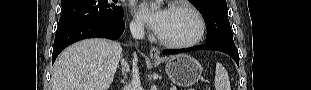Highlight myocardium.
<instances>
[{"instance_id":"f54148a6","label":"myocardium","mask_w":311,"mask_h":90,"mask_svg":"<svg viewBox=\"0 0 311 90\" xmlns=\"http://www.w3.org/2000/svg\"><path fill=\"white\" fill-rule=\"evenodd\" d=\"M171 9L183 10L191 14L197 23V31L191 39L185 40V41L167 40L158 35L159 42L166 47L174 48V49L189 48V47H192L198 44L205 33V27H206L205 21L202 15L194 7L186 3L174 4L171 7Z\"/></svg>"}]
</instances>
